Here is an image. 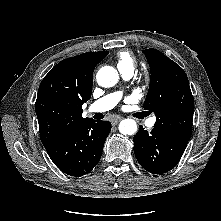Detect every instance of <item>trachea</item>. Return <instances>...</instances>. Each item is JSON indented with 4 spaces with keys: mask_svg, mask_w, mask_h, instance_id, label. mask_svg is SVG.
I'll return each instance as SVG.
<instances>
[{
    "mask_svg": "<svg viewBox=\"0 0 221 221\" xmlns=\"http://www.w3.org/2000/svg\"><path fill=\"white\" fill-rule=\"evenodd\" d=\"M99 114V113H98ZM97 117V119H101V116H96Z\"/></svg>",
    "mask_w": 221,
    "mask_h": 221,
    "instance_id": "obj_1",
    "label": "trachea"
}]
</instances>
